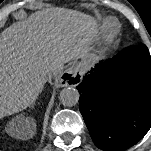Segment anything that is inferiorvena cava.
I'll return each instance as SVG.
<instances>
[{
    "mask_svg": "<svg viewBox=\"0 0 151 151\" xmlns=\"http://www.w3.org/2000/svg\"><path fill=\"white\" fill-rule=\"evenodd\" d=\"M60 70H61V66L56 65V66L53 68V74L58 73Z\"/></svg>",
    "mask_w": 151,
    "mask_h": 151,
    "instance_id": "1",
    "label": "inferior vena cava"
}]
</instances>
